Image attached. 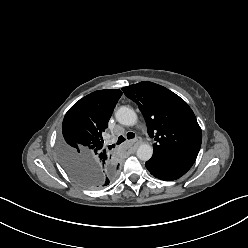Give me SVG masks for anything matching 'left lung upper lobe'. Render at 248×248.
Masks as SVG:
<instances>
[{
  "label": "left lung upper lobe",
  "mask_w": 248,
  "mask_h": 248,
  "mask_svg": "<svg viewBox=\"0 0 248 248\" xmlns=\"http://www.w3.org/2000/svg\"><path fill=\"white\" fill-rule=\"evenodd\" d=\"M122 90L137 103L146 120L148 134L156 141L153 156L162 159L197 157L202 141L201 128L182 98L161 85L146 81Z\"/></svg>",
  "instance_id": "obj_1"
}]
</instances>
